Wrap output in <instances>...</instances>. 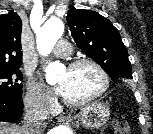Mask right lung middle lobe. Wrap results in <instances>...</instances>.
I'll list each match as a JSON object with an SVG mask.
<instances>
[{
    "label": "right lung middle lobe",
    "instance_id": "dd1d6c3e",
    "mask_svg": "<svg viewBox=\"0 0 153 134\" xmlns=\"http://www.w3.org/2000/svg\"><path fill=\"white\" fill-rule=\"evenodd\" d=\"M23 75L18 70V66L0 67V94L14 98H21Z\"/></svg>",
    "mask_w": 153,
    "mask_h": 134
}]
</instances>
